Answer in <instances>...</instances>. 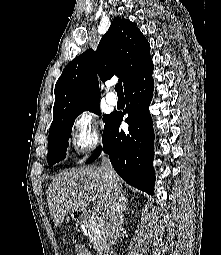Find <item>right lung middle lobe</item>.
<instances>
[{
	"mask_svg": "<svg viewBox=\"0 0 221 255\" xmlns=\"http://www.w3.org/2000/svg\"><path fill=\"white\" fill-rule=\"evenodd\" d=\"M87 110L98 115L101 114L98 103L88 105L80 110L62 116L56 128L49 132L47 161L50 166H53L55 163L65 158L68 147L67 143L71 135L75 118L83 111ZM110 117L111 115H105L103 117V121L105 122L104 128Z\"/></svg>",
	"mask_w": 221,
	"mask_h": 255,
	"instance_id": "obj_1",
	"label": "right lung middle lobe"
}]
</instances>
